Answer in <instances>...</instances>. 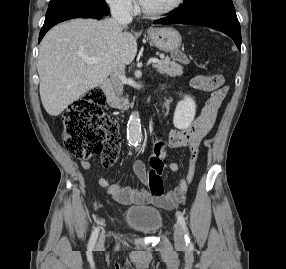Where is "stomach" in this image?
Instances as JSON below:
<instances>
[{
    "instance_id": "obj_1",
    "label": "stomach",
    "mask_w": 286,
    "mask_h": 269,
    "mask_svg": "<svg viewBox=\"0 0 286 269\" xmlns=\"http://www.w3.org/2000/svg\"><path fill=\"white\" fill-rule=\"evenodd\" d=\"M148 38L151 45L170 54L171 49H179L182 42L181 35L172 27L151 28L148 31Z\"/></svg>"
}]
</instances>
